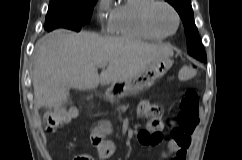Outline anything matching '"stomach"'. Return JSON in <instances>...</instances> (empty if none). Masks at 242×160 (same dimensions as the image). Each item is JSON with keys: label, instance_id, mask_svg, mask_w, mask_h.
Listing matches in <instances>:
<instances>
[{"label": "stomach", "instance_id": "obj_1", "mask_svg": "<svg viewBox=\"0 0 242 160\" xmlns=\"http://www.w3.org/2000/svg\"><path fill=\"white\" fill-rule=\"evenodd\" d=\"M172 65L173 61L171 59H163L153 62L140 74L136 75L132 79L115 83L112 85V88L119 89L121 94L124 95L137 94L143 90L151 88L155 81L163 77Z\"/></svg>", "mask_w": 242, "mask_h": 160}]
</instances>
